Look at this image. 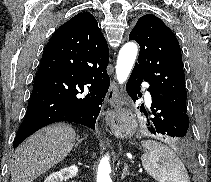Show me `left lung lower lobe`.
Listing matches in <instances>:
<instances>
[{
	"mask_svg": "<svg viewBox=\"0 0 211 182\" xmlns=\"http://www.w3.org/2000/svg\"><path fill=\"white\" fill-rule=\"evenodd\" d=\"M143 81L147 80L139 71L133 69L126 85V90L133 101H136L138 97L142 96L140 85ZM148 91L152 97L150 112L153 115L152 118H147L149 131L153 134L177 137L181 145H187L189 143L187 134L189 117L187 113L163 97L151 86L148 88Z\"/></svg>",
	"mask_w": 211,
	"mask_h": 182,
	"instance_id": "obj_1",
	"label": "left lung lower lobe"
}]
</instances>
